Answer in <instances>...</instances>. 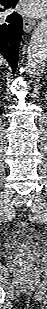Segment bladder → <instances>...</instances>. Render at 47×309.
<instances>
[{"mask_svg":"<svg viewBox=\"0 0 47 309\" xmlns=\"http://www.w3.org/2000/svg\"><path fill=\"white\" fill-rule=\"evenodd\" d=\"M44 245V235L26 224L9 234L4 241V247L9 252H32Z\"/></svg>","mask_w":47,"mask_h":309,"instance_id":"obj_1","label":"bladder"}]
</instances>
